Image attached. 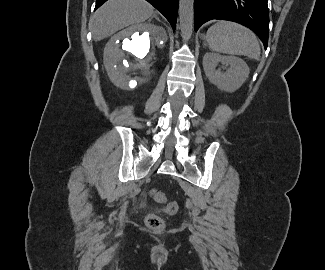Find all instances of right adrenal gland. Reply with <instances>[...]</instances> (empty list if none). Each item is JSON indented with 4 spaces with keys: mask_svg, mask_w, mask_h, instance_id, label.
<instances>
[{
    "mask_svg": "<svg viewBox=\"0 0 325 270\" xmlns=\"http://www.w3.org/2000/svg\"><path fill=\"white\" fill-rule=\"evenodd\" d=\"M152 18H155V19H157V20L160 22V19L157 17V15L154 14V15L152 16ZM152 18H150V20H151Z\"/></svg>",
    "mask_w": 325,
    "mask_h": 270,
    "instance_id": "1",
    "label": "right adrenal gland"
}]
</instances>
